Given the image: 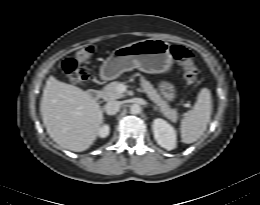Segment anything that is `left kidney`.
Segmentation results:
<instances>
[{
  "label": "left kidney",
  "mask_w": 260,
  "mask_h": 205,
  "mask_svg": "<svg viewBox=\"0 0 260 205\" xmlns=\"http://www.w3.org/2000/svg\"><path fill=\"white\" fill-rule=\"evenodd\" d=\"M154 138L166 150L176 148V131L173 126L163 119H155L152 125Z\"/></svg>",
  "instance_id": "5707ae66"
}]
</instances>
